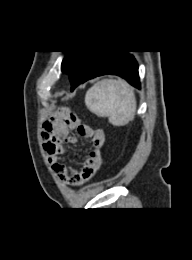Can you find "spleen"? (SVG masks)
Listing matches in <instances>:
<instances>
[{"label": "spleen", "mask_w": 192, "mask_h": 260, "mask_svg": "<svg viewBox=\"0 0 192 260\" xmlns=\"http://www.w3.org/2000/svg\"><path fill=\"white\" fill-rule=\"evenodd\" d=\"M85 104L98 117L114 126H125L135 117L137 103L131 86L122 79H103L85 95Z\"/></svg>", "instance_id": "3e777b00"}]
</instances>
